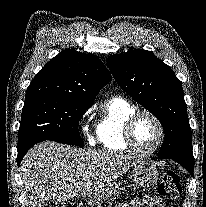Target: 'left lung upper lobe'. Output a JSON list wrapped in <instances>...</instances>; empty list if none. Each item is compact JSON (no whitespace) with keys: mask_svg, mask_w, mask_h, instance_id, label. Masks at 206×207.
Segmentation results:
<instances>
[{"mask_svg":"<svg viewBox=\"0 0 206 207\" xmlns=\"http://www.w3.org/2000/svg\"><path fill=\"white\" fill-rule=\"evenodd\" d=\"M107 64L118 84L162 124L165 140L158 156L194 165L182 83L172 69L142 49L114 54Z\"/></svg>","mask_w":206,"mask_h":207,"instance_id":"1","label":"left lung upper lobe"}]
</instances>
